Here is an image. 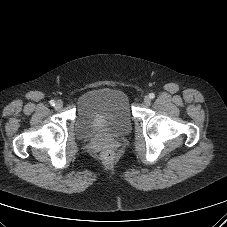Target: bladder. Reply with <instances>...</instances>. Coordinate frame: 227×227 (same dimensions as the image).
Listing matches in <instances>:
<instances>
[{
  "instance_id": "31cf9c89",
  "label": "bladder",
  "mask_w": 227,
  "mask_h": 227,
  "mask_svg": "<svg viewBox=\"0 0 227 227\" xmlns=\"http://www.w3.org/2000/svg\"><path fill=\"white\" fill-rule=\"evenodd\" d=\"M131 126L128 98L122 90L100 87L79 97L75 132L80 139L121 137L130 131Z\"/></svg>"
}]
</instances>
